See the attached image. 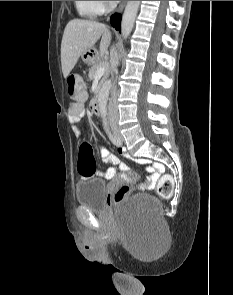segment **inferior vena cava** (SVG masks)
<instances>
[{
  "instance_id": "inferior-vena-cava-1",
  "label": "inferior vena cava",
  "mask_w": 233,
  "mask_h": 295,
  "mask_svg": "<svg viewBox=\"0 0 233 295\" xmlns=\"http://www.w3.org/2000/svg\"><path fill=\"white\" fill-rule=\"evenodd\" d=\"M110 56L115 64H118V55L115 48H112L110 51ZM109 116L111 118H118V108H117V87L115 82L112 85L111 89V98L108 105Z\"/></svg>"
}]
</instances>
